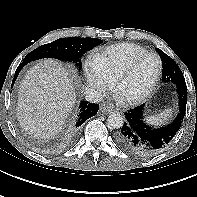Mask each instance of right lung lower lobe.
I'll return each instance as SVG.
<instances>
[{"label":"right lung lower lobe","mask_w":197,"mask_h":197,"mask_svg":"<svg viewBox=\"0 0 197 197\" xmlns=\"http://www.w3.org/2000/svg\"><path fill=\"white\" fill-rule=\"evenodd\" d=\"M27 64L26 61L22 62L16 72H15V75H14V78H13V82H12V85L14 84L20 70ZM80 113H79V118L75 124V127H79L81 126V124H83L88 118L94 116L97 114L98 112V109H99V106L97 104H93V103H88L87 101H82L80 106Z\"/></svg>","instance_id":"right-lung-lower-lobe-1"}]
</instances>
